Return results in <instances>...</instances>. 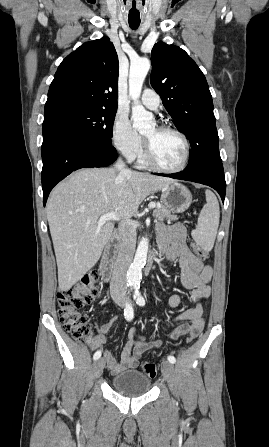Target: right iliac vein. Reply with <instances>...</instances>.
<instances>
[{"label":"right iliac vein","instance_id":"right-iliac-vein-1","mask_svg":"<svg viewBox=\"0 0 269 447\" xmlns=\"http://www.w3.org/2000/svg\"><path fill=\"white\" fill-rule=\"evenodd\" d=\"M118 305L121 306V307H124L125 303L123 301H119ZM104 365H105V361H104L103 358H100L99 360H97L95 362V365H94V368H93V372H94L93 374L96 377H98L101 374V372H102V370L104 368Z\"/></svg>","mask_w":269,"mask_h":447}]
</instances>
